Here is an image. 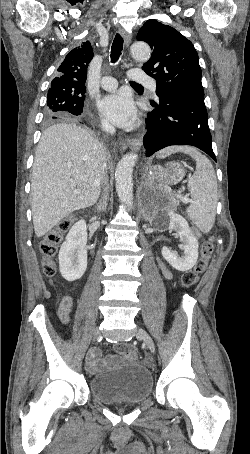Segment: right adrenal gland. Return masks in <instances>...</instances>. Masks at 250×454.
Listing matches in <instances>:
<instances>
[{
	"label": "right adrenal gland",
	"instance_id": "2a0ac1e0",
	"mask_svg": "<svg viewBox=\"0 0 250 454\" xmlns=\"http://www.w3.org/2000/svg\"><path fill=\"white\" fill-rule=\"evenodd\" d=\"M108 199H109L108 188L105 187L101 200L96 204L97 212L106 211Z\"/></svg>",
	"mask_w": 250,
	"mask_h": 454
}]
</instances>
